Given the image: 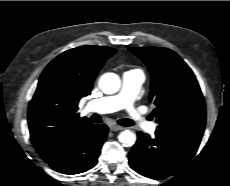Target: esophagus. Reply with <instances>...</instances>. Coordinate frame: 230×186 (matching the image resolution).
I'll return each instance as SVG.
<instances>
[{
  "instance_id": "34e87169",
  "label": "esophagus",
  "mask_w": 230,
  "mask_h": 186,
  "mask_svg": "<svg viewBox=\"0 0 230 186\" xmlns=\"http://www.w3.org/2000/svg\"><path fill=\"white\" fill-rule=\"evenodd\" d=\"M109 128L111 131H120V130L124 129V127L119 126V125H115V124L110 125Z\"/></svg>"
}]
</instances>
